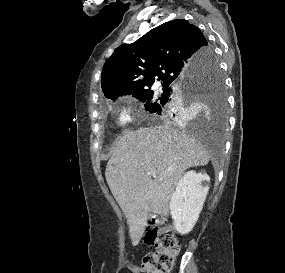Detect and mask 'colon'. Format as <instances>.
Wrapping results in <instances>:
<instances>
[{"instance_id":"obj_1","label":"colon","mask_w":285,"mask_h":273,"mask_svg":"<svg viewBox=\"0 0 285 273\" xmlns=\"http://www.w3.org/2000/svg\"><path fill=\"white\" fill-rule=\"evenodd\" d=\"M145 242L155 248L142 262L145 273H170L179 253V241L163 222H158L145 236Z\"/></svg>"}]
</instances>
